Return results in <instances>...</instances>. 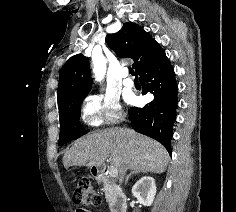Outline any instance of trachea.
<instances>
[{
	"label": "trachea",
	"instance_id": "3493384b",
	"mask_svg": "<svg viewBox=\"0 0 236 212\" xmlns=\"http://www.w3.org/2000/svg\"><path fill=\"white\" fill-rule=\"evenodd\" d=\"M129 73H130L132 76H135V72H134V70H133L132 68H130Z\"/></svg>",
	"mask_w": 236,
	"mask_h": 212
}]
</instances>
